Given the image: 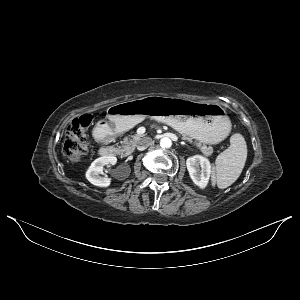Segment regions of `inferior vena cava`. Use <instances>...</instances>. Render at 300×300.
I'll use <instances>...</instances> for the list:
<instances>
[{
    "label": "inferior vena cava",
    "mask_w": 300,
    "mask_h": 300,
    "mask_svg": "<svg viewBox=\"0 0 300 300\" xmlns=\"http://www.w3.org/2000/svg\"><path fill=\"white\" fill-rule=\"evenodd\" d=\"M153 143H154V141L150 137L141 138L137 145V149L140 151H143L146 148H148L149 146H151Z\"/></svg>",
    "instance_id": "602c4592"
}]
</instances>
